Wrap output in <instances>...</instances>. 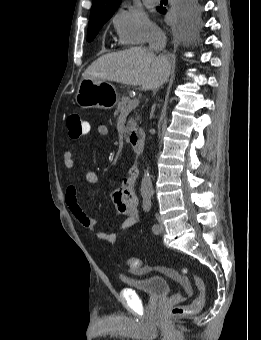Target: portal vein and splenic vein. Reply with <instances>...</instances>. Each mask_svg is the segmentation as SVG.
<instances>
[{
	"label": "portal vein and splenic vein",
	"instance_id": "obj_1",
	"mask_svg": "<svg viewBox=\"0 0 261 340\" xmlns=\"http://www.w3.org/2000/svg\"><path fill=\"white\" fill-rule=\"evenodd\" d=\"M138 105H139V98H134L129 102L128 108H129V110H132V109L136 108Z\"/></svg>",
	"mask_w": 261,
	"mask_h": 340
}]
</instances>
